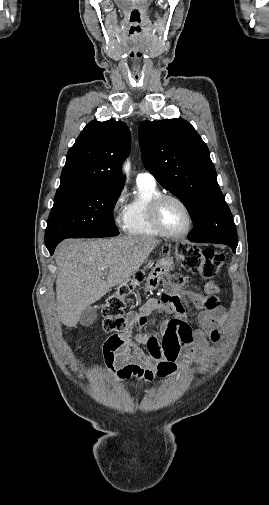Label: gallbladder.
Returning <instances> with one entry per match:
<instances>
[{"mask_svg": "<svg viewBox=\"0 0 269 505\" xmlns=\"http://www.w3.org/2000/svg\"><path fill=\"white\" fill-rule=\"evenodd\" d=\"M97 319V308L95 306L86 307L80 315V323L83 326H90Z\"/></svg>", "mask_w": 269, "mask_h": 505, "instance_id": "gallbladder-1", "label": "gallbladder"}]
</instances>
